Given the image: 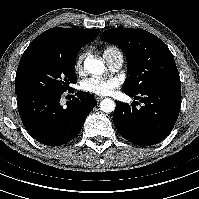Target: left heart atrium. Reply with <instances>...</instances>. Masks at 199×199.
I'll list each match as a JSON object with an SVG mask.
<instances>
[{"mask_svg": "<svg viewBox=\"0 0 199 199\" xmlns=\"http://www.w3.org/2000/svg\"><path fill=\"white\" fill-rule=\"evenodd\" d=\"M118 85V81L114 78L93 76L82 80L80 88L87 93L102 96L112 93Z\"/></svg>", "mask_w": 199, "mask_h": 199, "instance_id": "1", "label": "left heart atrium"}]
</instances>
